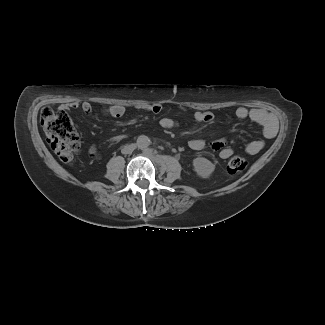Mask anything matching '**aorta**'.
I'll return each instance as SVG.
<instances>
[{"label": "aorta", "instance_id": "762f6f07", "mask_svg": "<svg viewBox=\"0 0 325 325\" xmlns=\"http://www.w3.org/2000/svg\"><path fill=\"white\" fill-rule=\"evenodd\" d=\"M150 139L146 135H141L137 138L136 145L140 149H145L150 145Z\"/></svg>", "mask_w": 325, "mask_h": 325}]
</instances>
